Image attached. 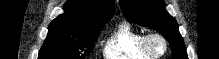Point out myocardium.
Instances as JSON below:
<instances>
[{
    "label": "myocardium",
    "instance_id": "1",
    "mask_svg": "<svg viewBox=\"0 0 219 59\" xmlns=\"http://www.w3.org/2000/svg\"><path fill=\"white\" fill-rule=\"evenodd\" d=\"M154 41H158L162 44V51L160 52H155L152 43ZM143 45L145 51L153 58V59H159L163 56H165L169 50V43L168 40L164 35L158 32H152L148 33L144 36L143 39Z\"/></svg>",
    "mask_w": 219,
    "mask_h": 59
}]
</instances>
